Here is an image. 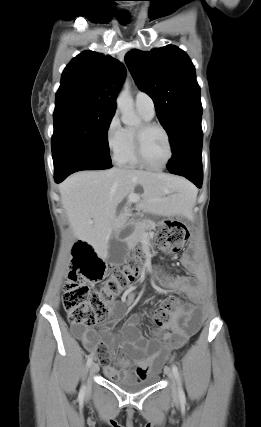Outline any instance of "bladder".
Segmentation results:
<instances>
[{
  "label": "bladder",
  "mask_w": 261,
  "mask_h": 427,
  "mask_svg": "<svg viewBox=\"0 0 261 427\" xmlns=\"http://www.w3.org/2000/svg\"><path fill=\"white\" fill-rule=\"evenodd\" d=\"M158 374H151L141 379L114 378V384L127 392H136L154 385L158 381Z\"/></svg>",
  "instance_id": "31cf9c89"
}]
</instances>
